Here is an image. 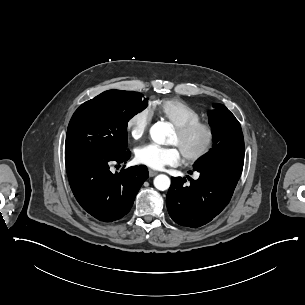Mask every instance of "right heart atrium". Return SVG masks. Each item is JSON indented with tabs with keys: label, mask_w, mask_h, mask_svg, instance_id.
<instances>
[{
	"label": "right heart atrium",
	"mask_w": 305,
	"mask_h": 305,
	"mask_svg": "<svg viewBox=\"0 0 305 305\" xmlns=\"http://www.w3.org/2000/svg\"><path fill=\"white\" fill-rule=\"evenodd\" d=\"M152 114L149 108H141L135 111L126 122V129L133 140L143 137L151 122Z\"/></svg>",
	"instance_id": "obj_1"
}]
</instances>
